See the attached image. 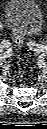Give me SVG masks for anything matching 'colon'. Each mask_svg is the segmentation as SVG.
<instances>
[{"label": "colon", "mask_w": 47, "mask_h": 129, "mask_svg": "<svg viewBox=\"0 0 47 129\" xmlns=\"http://www.w3.org/2000/svg\"><path fill=\"white\" fill-rule=\"evenodd\" d=\"M13 37L18 44L21 43V39L17 35L14 34Z\"/></svg>", "instance_id": "1"}]
</instances>
